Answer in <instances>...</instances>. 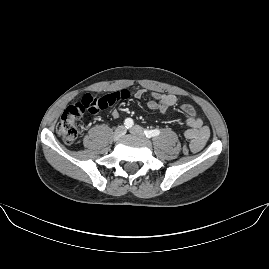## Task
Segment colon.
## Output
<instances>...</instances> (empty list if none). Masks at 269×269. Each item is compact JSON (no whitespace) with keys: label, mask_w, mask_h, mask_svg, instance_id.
<instances>
[{"label":"colon","mask_w":269,"mask_h":269,"mask_svg":"<svg viewBox=\"0 0 269 269\" xmlns=\"http://www.w3.org/2000/svg\"><path fill=\"white\" fill-rule=\"evenodd\" d=\"M125 97V91L119 90L107 97H98L97 95L86 94L81 100L69 105L62 113L60 120L56 124L57 135L66 143L74 144L81 136L86 121L82 119L85 112L90 116H95L101 110L112 105L115 100ZM183 155L189 153L188 146L182 149Z\"/></svg>","instance_id":"obj_1"}]
</instances>
